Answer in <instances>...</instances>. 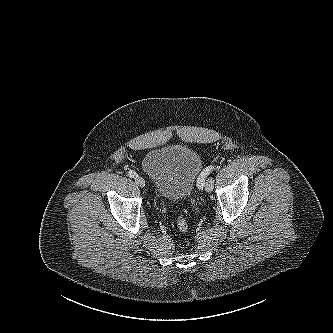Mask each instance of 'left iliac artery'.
I'll return each instance as SVG.
<instances>
[{"instance_id":"left-iliac-artery-1","label":"left iliac artery","mask_w":333,"mask_h":333,"mask_svg":"<svg viewBox=\"0 0 333 333\" xmlns=\"http://www.w3.org/2000/svg\"><path fill=\"white\" fill-rule=\"evenodd\" d=\"M215 169V166L206 167L198 178V188L203 189L205 186V178Z\"/></svg>"}]
</instances>
